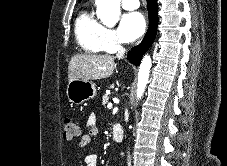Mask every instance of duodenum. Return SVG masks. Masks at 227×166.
I'll return each instance as SVG.
<instances>
[{
  "label": "duodenum",
  "mask_w": 227,
  "mask_h": 166,
  "mask_svg": "<svg viewBox=\"0 0 227 166\" xmlns=\"http://www.w3.org/2000/svg\"><path fill=\"white\" fill-rule=\"evenodd\" d=\"M112 135L116 142H121L123 139V128L119 123H114L112 126Z\"/></svg>",
  "instance_id": "1"
}]
</instances>
